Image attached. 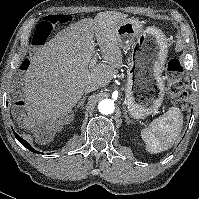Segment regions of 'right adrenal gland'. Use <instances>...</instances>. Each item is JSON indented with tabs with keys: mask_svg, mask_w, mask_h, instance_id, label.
<instances>
[{
	"mask_svg": "<svg viewBox=\"0 0 199 199\" xmlns=\"http://www.w3.org/2000/svg\"><path fill=\"white\" fill-rule=\"evenodd\" d=\"M85 100H86V96H84V97L81 99V101L78 103V105H77V107H76L75 110H77L78 108L83 109Z\"/></svg>",
	"mask_w": 199,
	"mask_h": 199,
	"instance_id": "2a0ac1e0",
	"label": "right adrenal gland"
}]
</instances>
